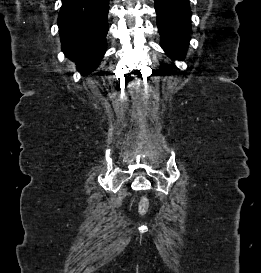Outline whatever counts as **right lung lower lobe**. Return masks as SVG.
Here are the masks:
<instances>
[{
    "label": "right lung lower lobe",
    "instance_id": "1",
    "mask_svg": "<svg viewBox=\"0 0 261 273\" xmlns=\"http://www.w3.org/2000/svg\"><path fill=\"white\" fill-rule=\"evenodd\" d=\"M109 0H62L58 16L62 51L83 74L94 71L107 47Z\"/></svg>",
    "mask_w": 261,
    "mask_h": 273
}]
</instances>
